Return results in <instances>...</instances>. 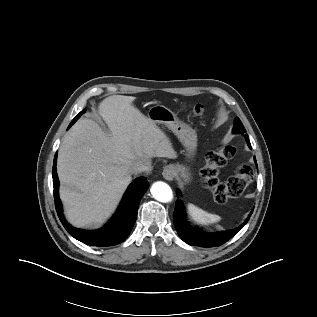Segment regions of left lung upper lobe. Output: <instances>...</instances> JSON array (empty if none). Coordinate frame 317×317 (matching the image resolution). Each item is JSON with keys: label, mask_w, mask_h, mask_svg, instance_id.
Here are the masks:
<instances>
[{"label": "left lung upper lobe", "mask_w": 317, "mask_h": 317, "mask_svg": "<svg viewBox=\"0 0 317 317\" xmlns=\"http://www.w3.org/2000/svg\"><path fill=\"white\" fill-rule=\"evenodd\" d=\"M246 129L244 128L242 122L240 121L239 118H236L235 120V125H234V129H233V133H240L243 134L245 133ZM246 140H249L248 135H245Z\"/></svg>", "instance_id": "left-lung-upper-lobe-1"}]
</instances>
